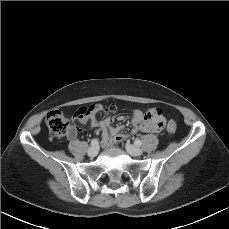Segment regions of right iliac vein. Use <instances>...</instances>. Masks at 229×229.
<instances>
[{
  "label": "right iliac vein",
  "mask_w": 229,
  "mask_h": 229,
  "mask_svg": "<svg viewBox=\"0 0 229 229\" xmlns=\"http://www.w3.org/2000/svg\"><path fill=\"white\" fill-rule=\"evenodd\" d=\"M98 154V149L96 147H91L88 150V155L90 157H95Z\"/></svg>",
  "instance_id": "1"
}]
</instances>
